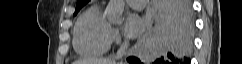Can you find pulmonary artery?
Wrapping results in <instances>:
<instances>
[{
	"mask_svg": "<svg viewBox=\"0 0 242 64\" xmlns=\"http://www.w3.org/2000/svg\"><path fill=\"white\" fill-rule=\"evenodd\" d=\"M129 6L134 9H142L145 6V0H126Z\"/></svg>",
	"mask_w": 242,
	"mask_h": 64,
	"instance_id": "pulmonary-artery-1",
	"label": "pulmonary artery"
}]
</instances>
